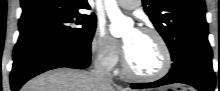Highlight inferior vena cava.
<instances>
[{"label":"inferior vena cava","instance_id":"602c4592","mask_svg":"<svg viewBox=\"0 0 220 91\" xmlns=\"http://www.w3.org/2000/svg\"><path fill=\"white\" fill-rule=\"evenodd\" d=\"M91 74L99 82L112 83L110 69L100 60L95 61L94 69L92 70Z\"/></svg>","mask_w":220,"mask_h":91}]
</instances>
